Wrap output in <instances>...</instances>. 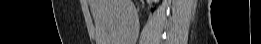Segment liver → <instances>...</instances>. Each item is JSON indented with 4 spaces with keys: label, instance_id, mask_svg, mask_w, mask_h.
<instances>
[{
    "label": "liver",
    "instance_id": "liver-1",
    "mask_svg": "<svg viewBox=\"0 0 261 44\" xmlns=\"http://www.w3.org/2000/svg\"><path fill=\"white\" fill-rule=\"evenodd\" d=\"M96 25L97 44L134 42L128 24H133L136 9L132 0H89Z\"/></svg>",
    "mask_w": 261,
    "mask_h": 44
}]
</instances>
